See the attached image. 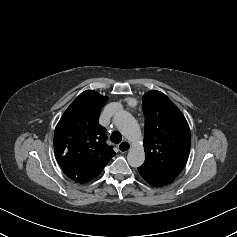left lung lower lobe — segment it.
<instances>
[{"label":"left lung lower lobe","mask_w":237,"mask_h":237,"mask_svg":"<svg viewBox=\"0 0 237 237\" xmlns=\"http://www.w3.org/2000/svg\"><path fill=\"white\" fill-rule=\"evenodd\" d=\"M138 171H139L140 175L150 185L155 186V187H162V186L170 184L171 182L174 181L173 178L159 175V174L155 173L154 171H151V170L146 169V168L139 167Z\"/></svg>","instance_id":"left-lung-lower-lobe-1"}]
</instances>
